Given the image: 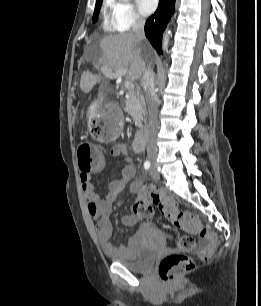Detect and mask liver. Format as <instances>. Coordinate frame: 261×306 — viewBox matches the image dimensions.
<instances>
[{
  "instance_id": "liver-1",
  "label": "liver",
  "mask_w": 261,
  "mask_h": 306,
  "mask_svg": "<svg viewBox=\"0 0 261 306\" xmlns=\"http://www.w3.org/2000/svg\"><path fill=\"white\" fill-rule=\"evenodd\" d=\"M139 43L140 41L132 33L104 37L99 42L103 52L100 64L115 72L127 69V80L135 81L145 70V61L138 47ZM100 80V74L84 72L81 75L80 88L85 93H89Z\"/></svg>"
}]
</instances>
